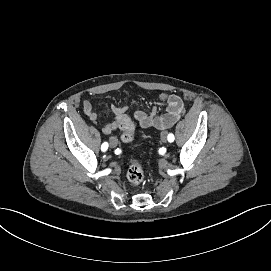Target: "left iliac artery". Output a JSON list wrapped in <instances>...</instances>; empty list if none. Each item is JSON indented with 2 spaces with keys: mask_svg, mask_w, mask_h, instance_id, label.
Masks as SVG:
<instances>
[{
  "mask_svg": "<svg viewBox=\"0 0 271 271\" xmlns=\"http://www.w3.org/2000/svg\"><path fill=\"white\" fill-rule=\"evenodd\" d=\"M174 135L173 134H168V141L173 142L174 141Z\"/></svg>",
  "mask_w": 271,
  "mask_h": 271,
  "instance_id": "obj_1",
  "label": "left iliac artery"
}]
</instances>
